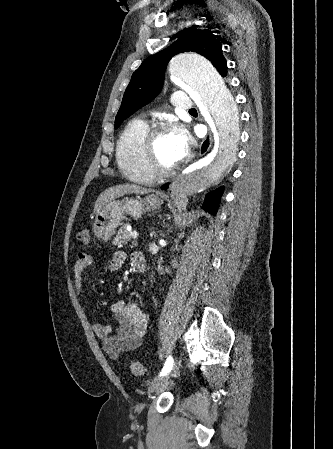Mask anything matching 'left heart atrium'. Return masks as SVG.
<instances>
[{"mask_svg":"<svg viewBox=\"0 0 333 449\" xmlns=\"http://www.w3.org/2000/svg\"><path fill=\"white\" fill-rule=\"evenodd\" d=\"M178 158L183 159L190 149V137L182 127H175L169 133Z\"/></svg>","mask_w":333,"mask_h":449,"instance_id":"left-heart-atrium-1","label":"left heart atrium"}]
</instances>
